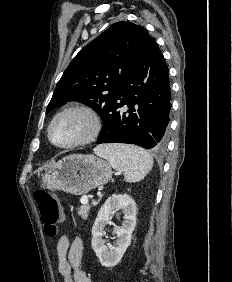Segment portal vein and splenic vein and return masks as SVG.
I'll return each instance as SVG.
<instances>
[{"instance_id":"1","label":"portal vein and splenic vein","mask_w":232,"mask_h":282,"mask_svg":"<svg viewBox=\"0 0 232 282\" xmlns=\"http://www.w3.org/2000/svg\"><path fill=\"white\" fill-rule=\"evenodd\" d=\"M88 198L89 197L87 195H84V196L81 197L80 202L82 204H87L88 203Z\"/></svg>"}]
</instances>
